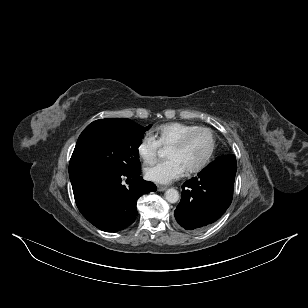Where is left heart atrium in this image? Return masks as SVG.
Wrapping results in <instances>:
<instances>
[{"label": "left heart atrium", "mask_w": 308, "mask_h": 308, "mask_svg": "<svg viewBox=\"0 0 308 308\" xmlns=\"http://www.w3.org/2000/svg\"><path fill=\"white\" fill-rule=\"evenodd\" d=\"M184 166L179 160L169 158L145 169L147 179L159 184H167L181 177L185 173Z\"/></svg>", "instance_id": "obj_1"}]
</instances>
